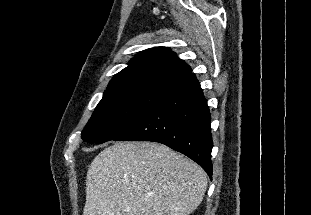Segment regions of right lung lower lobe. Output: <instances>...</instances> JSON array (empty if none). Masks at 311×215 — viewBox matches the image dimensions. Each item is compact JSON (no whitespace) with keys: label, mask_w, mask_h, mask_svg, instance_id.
I'll return each mask as SVG.
<instances>
[{"label":"right lung lower lobe","mask_w":311,"mask_h":215,"mask_svg":"<svg viewBox=\"0 0 311 215\" xmlns=\"http://www.w3.org/2000/svg\"><path fill=\"white\" fill-rule=\"evenodd\" d=\"M113 140L162 143L194 160L212 178L210 110L192 72L170 84L146 115Z\"/></svg>","instance_id":"right-lung-lower-lobe-1"}]
</instances>
